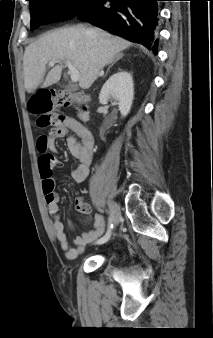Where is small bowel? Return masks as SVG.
I'll return each instance as SVG.
<instances>
[{"mask_svg":"<svg viewBox=\"0 0 213 338\" xmlns=\"http://www.w3.org/2000/svg\"><path fill=\"white\" fill-rule=\"evenodd\" d=\"M68 133L70 134L68 137V150L70 154L79 161V165L73 170L72 176L77 182L86 180L93 156L94 137L80 121L72 117H65L62 126L52 129L48 134L37 137L36 145L39 153L38 167L42 182H53V169L62 166V163L56 157L57 149L55 142ZM44 196L47 210L51 216L52 230L55 239L64 251L66 258L74 260L85 251L87 244L93 242L104 233V218L102 215L97 214L93 228L77 237L74 241V245L71 246L65 232V225L61 221L59 193L52 188L49 192L44 191ZM75 207L83 213H89L90 211V206L86 204L82 198L75 200Z\"/></svg>","mask_w":213,"mask_h":338,"instance_id":"1","label":"small bowel"}]
</instances>
